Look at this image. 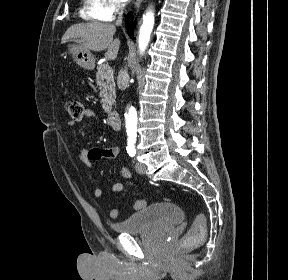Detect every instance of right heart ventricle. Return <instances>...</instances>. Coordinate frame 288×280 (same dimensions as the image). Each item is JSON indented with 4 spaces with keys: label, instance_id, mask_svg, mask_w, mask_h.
Here are the masks:
<instances>
[{
    "label": "right heart ventricle",
    "instance_id": "right-heart-ventricle-1",
    "mask_svg": "<svg viewBox=\"0 0 288 280\" xmlns=\"http://www.w3.org/2000/svg\"><path fill=\"white\" fill-rule=\"evenodd\" d=\"M100 5V0H82L79 15L85 20L101 21Z\"/></svg>",
    "mask_w": 288,
    "mask_h": 280
}]
</instances>
